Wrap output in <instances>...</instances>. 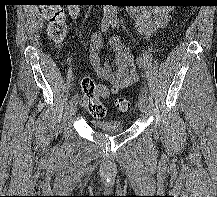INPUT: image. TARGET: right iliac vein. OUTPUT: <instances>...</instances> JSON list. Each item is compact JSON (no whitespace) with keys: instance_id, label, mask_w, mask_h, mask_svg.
Instances as JSON below:
<instances>
[{"instance_id":"1","label":"right iliac vein","mask_w":217,"mask_h":197,"mask_svg":"<svg viewBox=\"0 0 217 197\" xmlns=\"http://www.w3.org/2000/svg\"><path fill=\"white\" fill-rule=\"evenodd\" d=\"M77 112V101L71 104V115H75Z\"/></svg>"}]
</instances>
